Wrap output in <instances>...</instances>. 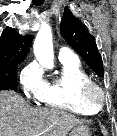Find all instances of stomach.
<instances>
[{
    "instance_id": "1",
    "label": "stomach",
    "mask_w": 117,
    "mask_h": 136,
    "mask_svg": "<svg viewBox=\"0 0 117 136\" xmlns=\"http://www.w3.org/2000/svg\"><path fill=\"white\" fill-rule=\"evenodd\" d=\"M70 136H91V133L87 126L78 125L72 129Z\"/></svg>"
}]
</instances>
